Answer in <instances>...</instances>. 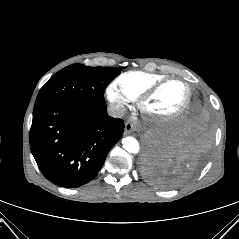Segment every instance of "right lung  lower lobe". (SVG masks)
<instances>
[{
  "label": "right lung lower lobe",
  "instance_id": "right-lung-lower-lobe-1",
  "mask_svg": "<svg viewBox=\"0 0 239 239\" xmlns=\"http://www.w3.org/2000/svg\"><path fill=\"white\" fill-rule=\"evenodd\" d=\"M124 121L107 114L106 105L57 102L33 110L30 148L42 174L61 187H78L101 169Z\"/></svg>",
  "mask_w": 239,
  "mask_h": 239
}]
</instances>
